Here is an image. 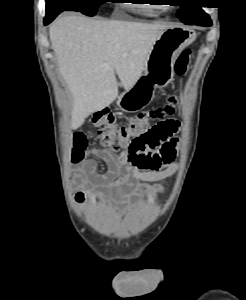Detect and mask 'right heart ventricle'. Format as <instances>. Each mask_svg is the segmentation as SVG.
I'll return each instance as SVG.
<instances>
[{
	"mask_svg": "<svg viewBox=\"0 0 246 300\" xmlns=\"http://www.w3.org/2000/svg\"><path fill=\"white\" fill-rule=\"evenodd\" d=\"M142 14L148 17H157L159 12H160V8H157L153 5H142L141 7H139Z\"/></svg>",
	"mask_w": 246,
	"mask_h": 300,
	"instance_id": "obj_1",
	"label": "right heart ventricle"
}]
</instances>
